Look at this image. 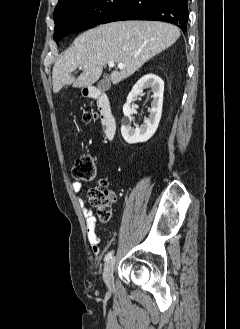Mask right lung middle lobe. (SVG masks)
<instances>
[{"mask_svg": "<svg viewBox=\"0 0 240 329\" xmlns=\"http://www.w3.org/2000/svg\"><path fill=\"white\" fill-rule=\"evenodd\" d=\"M125 0H70L55 9L54 40L58 44L64 36L100 24Z\"/></svg>", "mask_w": 240, "mask_h": 329, "instance_id": "right-lung-middle-lobe-1", "label": "right lung middle lobe"}]
</instances>
